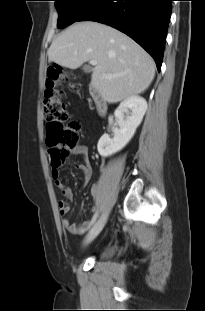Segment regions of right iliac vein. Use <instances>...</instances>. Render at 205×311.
I'll return each mask as SVG.
<instances>
[{
    "instance_id": "right-iliac-vein-1",
    "label": "right iliac vein",
    "mask_w": 205,
    "mask_h": 311,
    "mask_svg": "<svg viewBox=\"0 0 205 311\" xmlns=\"http://www.w3.org/2000/svg\"><path fill=\"white\" fill-rule=\"evenodd\" d=\"M107 218H108L107 212L101 215V217L97 220V222L95 223V225L93 226V228L91 229L87 237L85 238L84 246H87L88 244H90L99 235V233L102 231V229L104 228L106 224Z\"/></svg>"
}]
</instances>
